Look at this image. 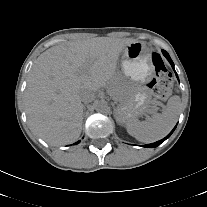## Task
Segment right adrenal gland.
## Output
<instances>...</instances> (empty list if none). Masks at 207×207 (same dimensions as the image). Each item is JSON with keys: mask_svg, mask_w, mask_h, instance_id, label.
Wrapping results in <instances>:
<instances>
[{"mask_svg": "<svg viewBox=\"0 0 207 207\" xmlns=\"http://www.w3.org/2000/svg\"><path fill=\"white\" fill-rule=\"evenodd\" d=\"M85 109H86V104L83 105V110L85 111Z\"/></svg>", "mask_w": 207, "mask_h": 207, "instance_id": "obj_1", "label": "right adrenal gland"}]
</instances>
